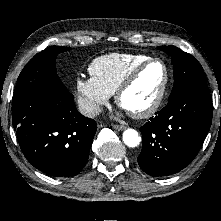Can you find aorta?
Masks as SVG:
<instances>
[{
    "mask_svg": "<svg viewBox=\"0 0 221 221\" xmlns=\"http://www.w3.org/2000/svg\"><path fill=\"white\" fill-rule=\"evenodd\" d=\"M140 136L138 132L134 129L128 128L123 132V142L128 147H136L140 143Z\"/></svg>",
    "mask_w": 221,
    "mask_h": 221,
    "instance_id": "obj_1",
    "label": "aorta"
}]
</instances>
